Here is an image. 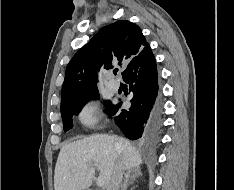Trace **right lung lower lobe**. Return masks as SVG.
<instances>
[{
  "instance_id": "1",
  "label": "right lung lower lobe",
  "mask_w": 234,
  "mask_h": 190,
  "mask_svg": "<svg viewBox=\"0 0 234 190\" xmlns=\"http://www.w3.org/2000/svg\"><path fill=\"white\" fill-rule=\"evenodd\" d=\"M122 76L132 92L131 107L122 110L115 117V123L130 140L154 138L159 127L160 108L156 100L158 73L150 46L130 62ZM120 105H114L110 115H115Z\"/></svg>"
}]
</instances>
